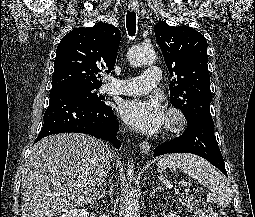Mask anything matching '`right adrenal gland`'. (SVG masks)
I'll use <instances>...</instances> for the list:
<instances>
[{
  "instance_id": "obj_1",
  "label": "right adrenal gland",
  "mask_w": 255,
  "mask_h": 217,
  "mask_svg": "<svg viewBox=\"0 0 255 217\" xmlns=\"http://www.w3.org/2000/svg\"><path fill=\"white\" fill-rule=\"evenodd\" d=\"M107 185H108V187H109L108 191H106L105 189H103L102 192H101V193L99 192L98 195H97V199L102 198L103 203H105L106 195L111 196L112 191H113L112 185H111V181H110V180H108V182L104 183V186H107Z\"/></svg>"
}]
</instances>
